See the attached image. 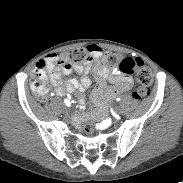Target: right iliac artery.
<instances>
[{"instance_id": "right-iliac-artery-1", "label": "right iliac artery", "mask_w": 183, "mask_h": 183, "mask_svg": "<svg viewBox=\"0 0 183 183\" xmlns=\"http://www.w3.org/2000/svg\"><path fill=\"white\" fill-rule=\"evenodd\" d=\"M66 105H70V101L68 99H64Z\"/></svg>"}]
</instances>
